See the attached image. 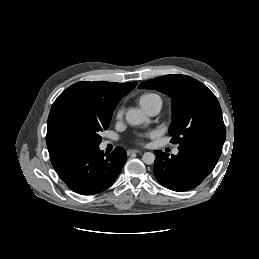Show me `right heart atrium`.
Wrapping results in <instances>:
<instances>
[{
    "label": "right heart atrium",
    "mask_w": 259,
    "mask_h": 259,
    "mask_svg": "<svg viewBox=\"0 0 259 259\" xmlns=\"http://www.w3.org/2000/svg\"><path fill=\"white\" fill-rule=\"evenodd\" d=\"M123 117V109L122 108H119L116 113H115V119L117 121L121 120Z\"/></svg>",
    "instance_id": "1"
}]
</instances>
